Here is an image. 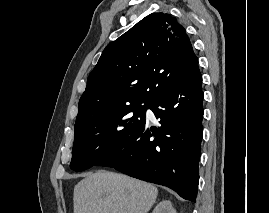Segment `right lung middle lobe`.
Here are the masks:
<instances>
[{
    "label": "right lung middle lobe",
    "instance_id": "1",
    "mask_svg": "<svg viewBox=\"0 0 270 213\" xmlns=\"http://www.w3.org/2000/svg\"><path fill=\"white\" fill-rule=\"evenodd\" d=\"M149 103H132L75 123L70 167L83 171L104 159L132 137L145 123Z\"/></svg>",
    "mask_w": 270,
    "mask_h": 213
}]
</instances>
